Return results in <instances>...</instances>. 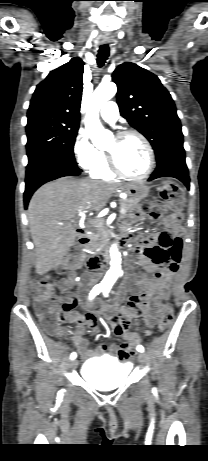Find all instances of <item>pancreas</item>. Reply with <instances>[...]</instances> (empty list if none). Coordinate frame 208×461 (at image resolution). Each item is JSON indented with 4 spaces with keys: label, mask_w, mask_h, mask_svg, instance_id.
Wrapping results in <instances>:
<instances>
[{
    "label": "pancreas",
    "mask_w": 208,
    "mask_h": 461,
    "mask_svg": "<svg viewBox=\"0 0 208 461\" xmlns=\"http://www.w3.org/2000/svg\"><path fill=\"white\" fill-rule=\"evenodd\" d=\"M139 200L127 198L120 201L121 208H124L127 213L133 212L138 205ZM96 225V232L90 237V242L85 246L87 250L94 251L103 246L107 242L109 231L102 226L101 222Z\"/></svg>",
    "instance_id": "obj_1"
}]
</instances>
